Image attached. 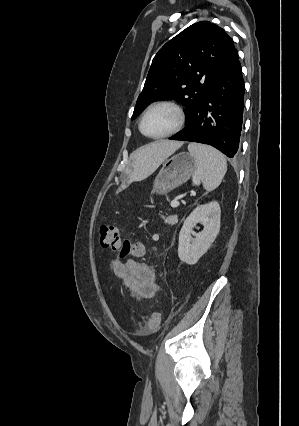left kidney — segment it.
<instances>
[{"instance_id": "obj_1", "label": "left kidney", "mask_w": 299, "mask_h": 426, "mask_svg": "<svg viewBox=\"0 0 299 426\" xmlns=\"http://www.w3.org/2000/svg\"><path fill=\"white\" fill-rule=\"evenodd\" d=\"M220 216L219 203L211 201L197 206L186 218L179 233L178 256L182 262L194 265L207 252L219 233ZM198 223L203 230L196 233L193 228Z\"/></svg>"}]
</instances>
